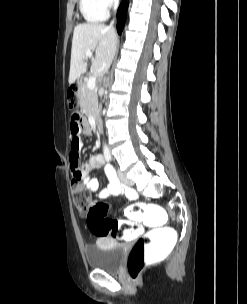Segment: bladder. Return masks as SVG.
Instances as JSON below:
<instances>
[{
    "label": "bladder",
    "instance_id": "1",
    "mask_svg": "<svg viewBox=\"0 0 247 304\" xmlns=\"http://www.w3.org/2000/svg\"><path fill=\"white\" fill-rule=\"evenodd\" d=\"M126 246L113 241H101L85 247L87 265L93 270L116 272L120 269Z\"/></svg>",
    "mask_w": 247,
    "mask_h": 304
}]
</instances>
